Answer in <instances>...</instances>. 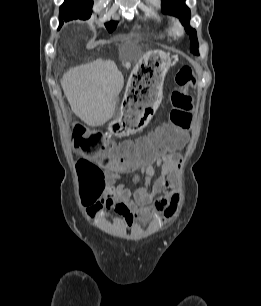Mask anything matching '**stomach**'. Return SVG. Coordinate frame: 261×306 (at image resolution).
Returning <instances> with one entry per match:
<instances>
[{"label": "stomach", "mask_w": 261, "mask_h": 306, "mask_svg": "<svg viewBox=\"0 0 261 306\" xmlns=\"http://www.w3.org/2000/svg\"><path fill=\"white\" fill-rule=\"evenodd\" d=\"M139 65H144L148 72L138 83L129 84L118 119L127 133L142 130L151 120L161 103L164 79L173 65V58L161 50L149 51Z\"/></svg>", "instance_id": "0dacf381"}]
</instances>
